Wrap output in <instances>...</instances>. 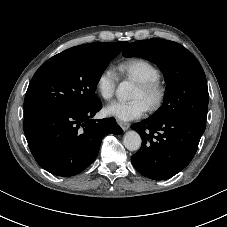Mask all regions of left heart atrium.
<instances>
[{"instance_id":"obj_1","label":"left heart atrium","mask_w":227,"mask_h":227,"mask_svg":"<svg viewBox=\"0 0 227 227\" xmlns=\"http://www.w3.org/2000/svg\"><path fill=\"white\" fill-rule=\"evenodd\" d=\"M148 110L143 99L131 101H115L106 106L105 113L120 121H131L142 117Z\"/></svg>"}]
</instances>
